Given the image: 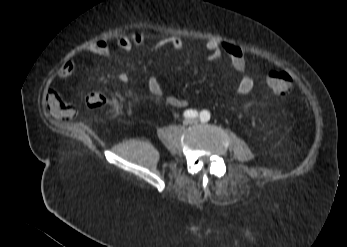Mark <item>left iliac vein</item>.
<instances>
[{
    "mask_svg": "<svg viewBox=\"0 0 347 247\" xmlns=\"http://www.w3.org/2000/svg\"><path fill=\"white\" fill-rule=\"evenodd\" d=\"M197 122H198L197 120H192L193 124H197Z\"/></svg>",
    "mask_w": 347,
    "mask_h": 247,
    "instance_id": "1",
    "label": "left iliac vein"
}]
</instances>
